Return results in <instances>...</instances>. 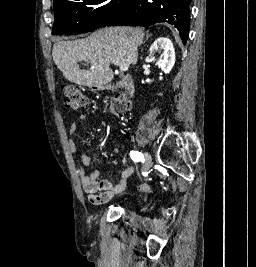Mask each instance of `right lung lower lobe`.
Listing matches in <instances>:
<instances>
[{
  "label": "right lung lower lobe",
  "instance_id": "98d812e1",
  "mask_svg": "<svg viewBox=\"0 0 256 267\" xmlns=\"http://www.w3.org/2000/svg\"><path fill=\"white\" fill-rule=\"evenodd\" d=\"M190 3L191 0H132L120 17L106 25L150 26L167 22L178 29L183 44H186Z\"/></svg>",
  "mask_w": 256,
  "mask_h": 267
}]
</instances>
